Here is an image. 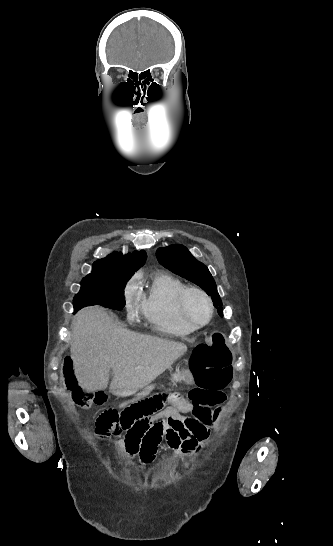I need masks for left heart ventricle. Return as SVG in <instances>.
Segmentation results:
<instances>
[{"label": "left heart ventricle", "mask_w": 333, "mask_h": 546, "mask_svg": "<svg viewBox=\"0 0 333 546\" xmlns=\"http://www.w3.org/2000/svg\"><path fill=\"white\" fill-rule=\"evenodd\" d=\"M188 311L196 322H204L209 316L207 303L199 296H192L189 301Z\"/></svg>", "instance_id": "left-heart-ventricle-1"}]
</instances>
